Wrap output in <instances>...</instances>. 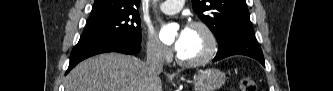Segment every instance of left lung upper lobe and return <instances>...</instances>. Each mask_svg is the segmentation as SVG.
<instances>
[{
  "label": "left lung upper lobe",
  "instance_id": "5c2ea615",
  "mask_svg": "<svg viewBox=\"0 0 333 91\" xmlns=\"http://www.w3.org/2000/svg\"><path fill=\"white\" fill-rule=\"evenodd\" d=\"M192 3L218 42L230 32L252 28L245 0H192Z\"/></svg>",
  "mask_w": 333,
  "mask_h": 91
}]
</instances>
